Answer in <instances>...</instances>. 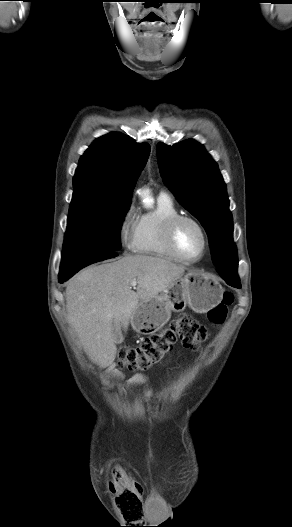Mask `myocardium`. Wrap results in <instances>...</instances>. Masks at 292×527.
<instances>
[{
	"instance_id": "obj_1",
	"label": "myocardium",
	"mask_w": 292,
	"mask_h": 527,
	"mask_svg": "<svg viewBox=\"0 0 292 527\" xmlns=\"http://www.w3.org/2000/svg\"><path fill=\"white\" fill-rule=\"evenodd\" d=\"M185 221L193 223L199 229V231L201 232L202 238H203V248H202L201 254L195 259H188L182 256L176 246V241H175L176 230L178 226L182 222H185ZM164 242H165L167 249L173 255V257L176 260L186 263V264L198 263L205 257L209 249V237H208L205 227L202 225V223L198 219H196L193 216L186 215V214H178L168 220L165 226V230H164Z\"/></svg>"
}]
</instances>
